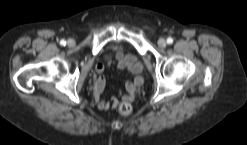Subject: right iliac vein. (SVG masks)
<instances>
[{
  "label": "right iliac vein",
  "mask_w": 247,
  "mask_h": 145,
  "mask_svg": "<svg viewBox=\"0 0 247 145\" xmlns=\"http://www.w3.org/2000/svg\"><path fill=\"white\" fill-rule=\"evenodd\" d=\"M67 44L69 47H73L75 45V41L73 39H69Z\"/></svg>",
  "instance_id": "1"
}]
</instances>
